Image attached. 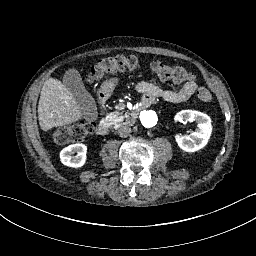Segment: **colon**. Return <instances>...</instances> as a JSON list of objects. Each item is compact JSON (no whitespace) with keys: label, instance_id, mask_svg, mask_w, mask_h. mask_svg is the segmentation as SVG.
Segmentation results:
<instances>
[{"label":"colon","instance_id":"colon-1","mask_svg":"<svg viewBox=\"0 0 256 256\" xmlns=\"http://www.w3.org/2000/svg\"><path fill=\"white\" fill-rule=\"evenodd\" d=\"M139 66V60L134 55H115L105 57L93 67L90 81L97 82L108 75L120 71H133ZM152 71L162 79L174 80L177 82H191L195 80V75L182 67H172L163 64L160 61H154L151 64ZM196 96L199 100L209 103L213 101V94L204 88H198ZM93 126L88 121L74 122L69 126L54 131L52 139L57 143L71 144L83 141L92 131Z\"/></svg>","mask_w":256,"mask_h":256}]
</instances>
